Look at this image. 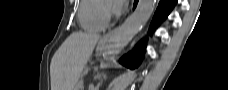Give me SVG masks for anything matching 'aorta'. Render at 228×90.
<instances>
[{"instance_id": "1", "label": "aorta", "mask_w": 228, "mask_h": 90, "mask_svg": "<svg viewBox=\"0 0 228 90\" xmlns=\"http://www.w3.org/2000/svg\"><path fill=\"white\" fill-rule=\"evenodd\" d=\"M155 3L156 0H139L134 13L109 36L104 48V60H113L142 29L154 11Z\"/></svg>"}]
</instances>
